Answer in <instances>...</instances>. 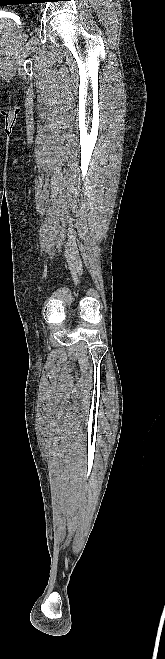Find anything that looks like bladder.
I'll list each match as a JSON object with an SVG mask.
<instances>
[{
    "instance_id": "1",
    "label": "bladder",
    "mask_w": 165,
    "mask_h": 659,
    "mask_svg": "<svg viewBox=\"0 0 165 659\" xmlns=\"http://www.w3.org/2000/svg\"><path fill=\"white\" fill-rule=\"evenodd\" d=\"M7 30V27L5 24H0V34L4 33Z\"/></svg>"
}]
</instances>
